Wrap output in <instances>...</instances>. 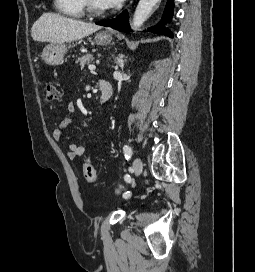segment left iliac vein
<instances>
[{
	"instance_id": "4c4485c4",
	"label": "left iliac vein",
	"mask_w": 255,
	"mask_h": 272,
	"mask_svg": "<svg viewBox=\"0 0 255 272\" xmlns=\"http://www.w3.org/2000/svg\"><path fill=\"white\" fill-rule=\"evenodd\" d=\"M143 164L139 157H136L133 161V170L136 176H139L142 172Z\"/></svg>"
}]
</instances>
